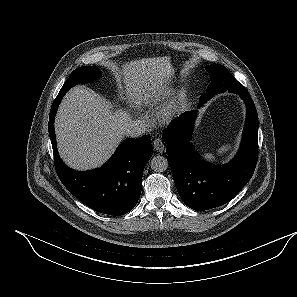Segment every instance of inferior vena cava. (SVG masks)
<instances>
[{
	"label": "inferior vena cava",
	"mask_w": 297,
	"mask_h": 297,
	"mask_svg": "<svg viewBox=\"0 0 297 297\" xmlns=\"http://www.w3.org/2000/svg\"><path fill=\"white\" fill-rule=\"evenodd\" d=\"M146 126L141 120H132L124 127V133L132 138H137L145 133Z\"/></svg>",
	"instance_id": "602c4592"
}]
</instances>
